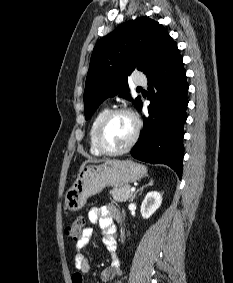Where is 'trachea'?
Listing matches in <instances>:
<instances>
[{
  "label": "trachea",
  "instance_id": "1",
  "mask_svg": "<svg viewBox=\"0 0 233 283\" xmlns=\"http://www.w3.org/2000/svg\"><path fill=\"white\" fill-rule=\"evenodd\" d=\"M141 89H142L141 87H138V88H137V90H141Z\"/></svg>",
  "mask_w": 233,
  "mask_h": 283
}]
</instances>
